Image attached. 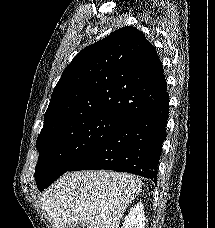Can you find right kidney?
Instances as JSON below:
<instances>
[{
	"mask_svg": "<svg viewBox=\"0 0 215 228\" xmlns=\"http://www.w3.org/2000/svg\"><path fill=\"white\" fill-rule=\"evenodd\" d=\"M122 228H145L144 204H136L124 218Z\"/></svg>",
	"mask_w": 215,
	"mask_h": 228,
	"instance_id": "ca27d5eb",
	"label": "right kidney"
}]
</instances>
